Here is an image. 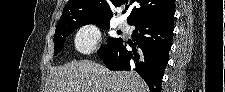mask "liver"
I'll list each match as a JSON object with an SVG mask.
<instances>
[{
  "label": "liver",
  "instance_id": "obj_1",
  "mask_svg": "<svg viewBox=\"0 0 225 92\" xmlns=\"http://www.w3.org/2000/svg\"><path fill=\"white\" fill-rule=\"evenodd\" d=\"M47 92H148L133 71H110L91 60L72 61L50 71Z\"/></svg>",
  "mask_w": 225,
  "mask_h": 92
}]
</instances>
